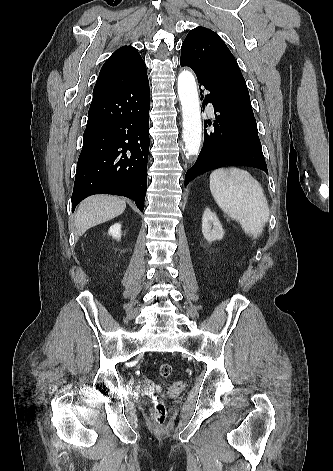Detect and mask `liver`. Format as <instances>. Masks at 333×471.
Listing matches in <instances>:
<instances>
[{"label": "liver", "instance_id": "6515ba94", "mask_svg": "<svg viewBox=\"0 0 333 471\" xmlns=\"http://www.w3.org/2000/svg\"><path fill=\"white\" fill-rule=\"evenodd\" d=\"M125 208L126 202L116 196L95 195L85 199L75 215L76 234L82 236L88 229L119 216Z\"/></svg>", "mask_w": 333, "mask_h": 471}]
</instances>
